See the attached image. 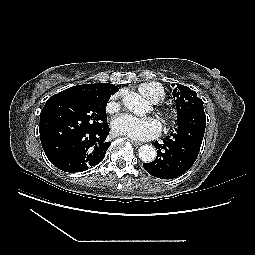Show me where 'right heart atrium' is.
Masks as SVG:
<instances>
[{
	"label": "right heart atrium",
	"instance_id": "obj_1",
	"mask_svg": "<svg viewBox=\"0 0 255 255\" xmlns=\"http://www.w3.org/2000/svg\"><path fill=\"white\" fill-rule=\"evenodd\" d=\"M106 109L109 113H115L119 109V103L117 101V96L114 95L107 103Z\"/></svg>",
	"mask_w": 255,
	"mask_h": 255
}]
</instances>
